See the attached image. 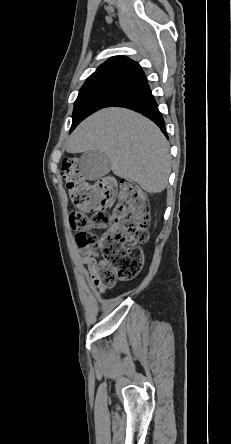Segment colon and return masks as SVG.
Instances as JSON below:
<instances>
[{
	"label": "colon",
	"mask_w": 231,
	"mask_h": 444,
	"mask_svg": "<svg viewBox=\"0 0 231 444\" xmlns=\"http://www.w3.org/2000/svg\"><path fill=\"white\" fill-rule=\"evenodd\" d=\"M62 175L70 198L77 208L70 224L80 235V246L101 253L105 268L99 283L103 289L116 281H128L140 272L144 255L141 244L148 239L149 205L145 193L133 182L104 177L94 183L84 180L77 161L67 158ZM117 201L112 215L108 209ZM104 230L98 236L95 232Z\"/></svg>",
	"instance_id": "obj_1"
}]
</instances>
